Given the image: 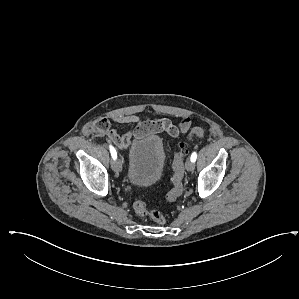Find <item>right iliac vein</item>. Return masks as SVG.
Here are the masks:
<instances>
[{
  "mask_svg": "<svg viewBox=\"0 0 299 299\" xmlns=\"http://www.w3.org/2000/svg\"><path fill=\"white\" fill-rule=\"evenodd\" d=\"M112 169L114 170V172L116 173H120L122 170V166H121V162L120 160H116L112 163Z\"/></svg>",
  "mask_w": 299,
  "mask_h": 299,
  "instance_id": "63e3f726",
  "label": "right iliac vein"
}]
</instances>
